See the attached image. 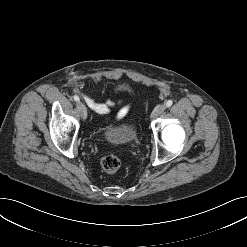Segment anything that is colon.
<instances>
[{"mask_svg": "<svg viewBox=\"0 0 247 247\" xmlns=\"http://www.w3.org/2000/svg\"><path fill=\"white\" fill-rule=\"evenodd\" d=\"M121 161L114 154L106 155L101 159V167L107 173H115L119 170Z\"/></svg>", "mask_w": 247, "mask_h": 247, "instance_id": "obj_1", "label": "colon"}]
</instances>
